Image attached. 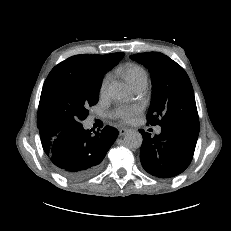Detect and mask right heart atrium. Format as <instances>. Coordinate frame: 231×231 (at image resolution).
Here are the masks:
<instances>
[{
	"instance_id": "1",
	"label": "right heart atrium",
	"mask_w": 231,
	"mask_h": 231,
	"mask_svg": "<svg viewBox=\"0 0 231 231\" xmlns=\"http://www.w3.org/2000/svg\"><path fill=\"white\" fill-rule=\"evenodd\" d=\"M111 75L110 74H106L101 83H100V87H99V93L101 96H105L107 94L110 82H111Z\"/></svg>"
}]
</instances>
